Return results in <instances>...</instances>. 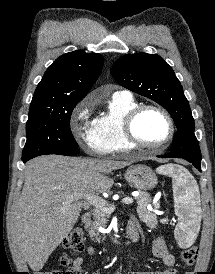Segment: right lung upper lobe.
<instances>
[{
  "label": "right lung upper lobe",
  "instance_id": "obj_1",
  "mask_svg": "<svg viewBox=\"0 0 215 274\" xmlns=\"http://www.w3.org/2000/svg\"><path fill=\"white\" fill-rule=\"evenodd\" d=\"M103 66L97 53H65L46 70L31 103L80 102L94 85Z\"/></svg>",
  "mask_w": 215,
  "mask_h": 274
}]
</instances>
